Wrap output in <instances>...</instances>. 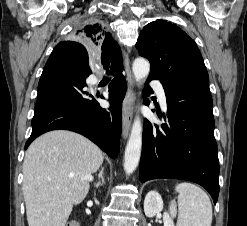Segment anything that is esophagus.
<instances>
[{"label": "esophagus", "instance_id": "obj_1", "mask_svg": "<svg viewBox=\"0 0 247 226\" xmlns=\"http://www.w3.org/2000/svg\"><path fill=\"white\" fill-rule=\"evenodd\" d=\"M124 63L126 70V80L128 84L127 92L123 101L122 108V136L126 139L129 135L132 122V105L135 100L134 79L130 69L128 54L124 53Z\"/></svg>", "mask_w": 247, "mask_h": 226}]
</instances>
